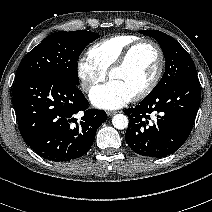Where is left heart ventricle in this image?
Returning a JSON list of instances; mask_svg holds the SVG:
<instances>
[{"label":"left heart ventricle","instance_id":"b2bd125f","mask_svg":"<svg viewBox=\"0 0 212 212\" xmlns=\"http://www.w3.org/2000/svg\"><path fill=\"white\" fill-rule=\"evenodd\" d=\"M157 64L158 57L155 50L143 45L133 52L127 65L115 72L110 80L134 96L152 79Z\"/></svg>","mask_w":212,"mask_h":212}]
</instances>
